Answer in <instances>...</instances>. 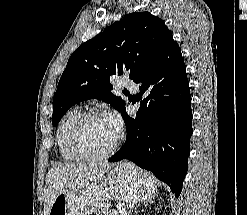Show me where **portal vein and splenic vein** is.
I'll list each match as a JSON object with an SVG mask.
<instances>
[{"instance_id": "obj_1", "label": "portal vein and splenic vein", "mask_w": 247, "mask_h": 215, "mask_svg": "<svg viewBox=\"0 0 247 215\" xmlns=\"http://www.w3.org/2000/svg\"><path fill=\"white\" fill-rule=\"evenodd\" d=\"M118 212L120 215H127V211L125 209H119Z\"/></svg>"}]
</instances>
